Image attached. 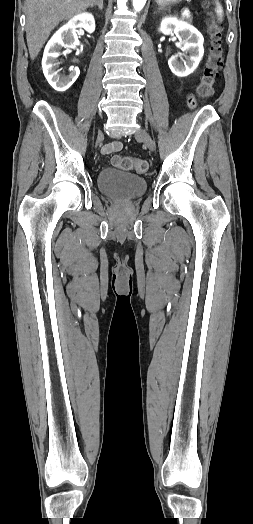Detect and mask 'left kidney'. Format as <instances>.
I'll return each instance as SVG.
<instances>
[{
  "mask_svg": "<svg viewBox=\"0 0 253 524\" xmlns=\"http://www.w3.org/2000/svg\"><path fill=\"white\" fill-rule=\"evenodd\" d=\"M159 30L165 35L175 33L183 44L182 51L185 54L172 56L168 61L171 71L179 77L191 74L198 67L204 54L202 34L190 24L175 17L162 19ZM187 53L189 56H186V60H183L182 56Z\"/></svg>",
  "mask_w": 253,
  "mask_h": 524,
  "instance_id": "left-kidney-1",
  "label": "left kidney"
}]
</instances>
